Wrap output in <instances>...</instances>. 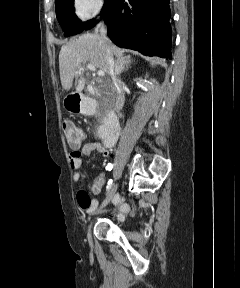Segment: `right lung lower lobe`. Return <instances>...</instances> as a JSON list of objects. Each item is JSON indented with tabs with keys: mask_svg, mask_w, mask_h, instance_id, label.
Here are the masks:
<instances>
[{
	"mask_svg": "<svg viewBox=\"0 0 240 288\" xmlns=\"http://www.w3.org/2000/svg\"><path fill=\"white\" fill-rule=\"evenodd\" d=\"M101 15L117 46L172 58L169 0H107ZM95 24L94 20L85 30Z\"/></svg>",
	"mask_w": 240,
	"mask_h": 288,
	"instance_id": "right-lung-lower-lobe-1",
	"label": "right lung lower lobe"
}]
</instances>
